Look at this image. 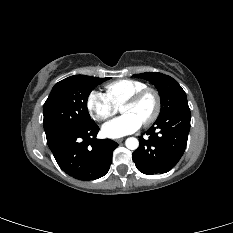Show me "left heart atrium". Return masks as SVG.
<instances>
[{
	"label": "left heart atrium",
	"mask_w": 233,
	"mask_h": 233,
	"mask_svg": "<svg viewBox=\"0 0 233 233\" xmlns=\"http://www.w3.org/2000/svg\"><path fill=\"white\" fill-rule=\"evenodd\" d=\"M142 123L132 114H123L115 119L106 122L102 126L104 136L112 139L136 132Z\"/></svg>",
	"instance_id": "39dd6f15"
}]
</instances>
